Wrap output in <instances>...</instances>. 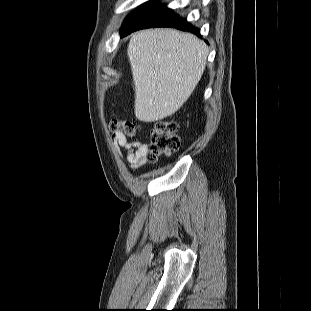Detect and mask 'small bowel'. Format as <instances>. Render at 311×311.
I'll return each instance as SVG.
<instances>
[{"label":"small bowel","mask_w":311,"mask_h":311,"mask_svg":"<svg viewBox=\"0 0 311 311\" xmlns=\"http://www.w3.org/2000/svg\"><path fill=\"white\" fill-rule=\"evenodd\" d=\"M112 142L117 151H126L125 161L133 170L140 168L147 162L149 147L146 143L129 140L128 136L122 132H116L112 137Z\"/></svg>","instance_id":"c3829d8e"}]
</instances>
